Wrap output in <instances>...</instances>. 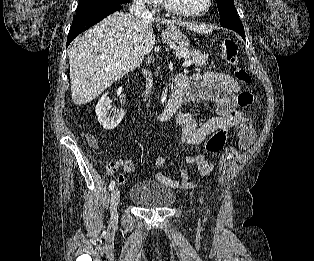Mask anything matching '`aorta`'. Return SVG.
I'll return each mask as SVG.
<instances>
[{
    "label": "aorta",
    "instance_id": "obj_1",
    "mask_svg": "<svg viewBox=\"0 0 314 261\" xmlns=\"http://www.w3.org/2000/svg\"><path fill=\"white\" fill-rule=\"evenodd\" d=\"M166 99H167V89L163 91V94L161 96V103L166 102Z\"/></svg>",
    "mask_w": 314,
    "mask_h": 261
}]
</instances>
